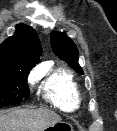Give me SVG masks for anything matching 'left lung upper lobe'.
Listing matches in <instances>:
<instances>
[{
  "mask_svg": "<svg viewBox=\"0 0 117 131\" xmlns=\"http://www.w3.org/2000/svg\"><path fill=\"white\" fill-rule=\"evenodd\" d=\"M50 38L55 54L66 61L71 68L83 74V70L78 64L79 52L73 40L61 32H52Z\"/></svg>",
  "mask_w": 117,
  "mask_h": 131,
  "instance_id": "5c2ea615",
  "label": "left lung upper lobe"
}]
</instances>
